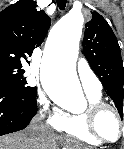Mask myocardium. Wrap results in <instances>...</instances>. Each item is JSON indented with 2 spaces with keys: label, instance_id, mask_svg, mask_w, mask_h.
I'll return each instance as SVG.
<instances>
[{
  "label": "myocardium",
  "instance_id": "1",
  "mask_svg": "<svg viewBox=\"0 0 124 149\" xmlns=\"http://www.w3.org/2000/svg\"><path fill=\"white\" fill-rule=\"evenodd\" d=\"M105 110L112 111L117 119L119 125V135L115 140L107 139L99 132L97 128L98 117ZM83 114L88 132L101 143L114 144L119 142L124 137V119L118 109L112 104L104 101L89 102V105Z\"/></svg>",
  "mask_w": 124,
  "mask_h": 149
}]
</instances>
